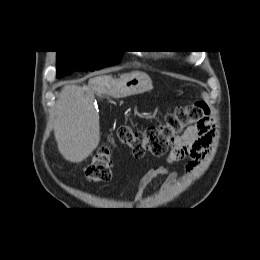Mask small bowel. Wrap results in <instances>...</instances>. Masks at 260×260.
I'll list each match as a JSON object with an SVG mask.
<instances>
[{
	"label": "small bowel",
	"instance_id": "c3829d8e",
	"mask_svg": "<svg viewBox=\"0 0 260 260\" xmlns=\"http://www.w3.org/2000/svg\"><path fill=\"white\" fill-rule=\"evenodd\" d=\"M213 137L214 131L208 119L188 127L181 136L177 137L172 145L167 158L168 163L184 162L185 170L187 172L193 171L207 154ZM158 176L167 177L163 188H167L179 178L177 172L171 171L164 166L148 170L140 181L137 201H141L143 189Z\"/></svg>",
	"mask_w": 260,
	"mask_h": 260
}]
</instances>
